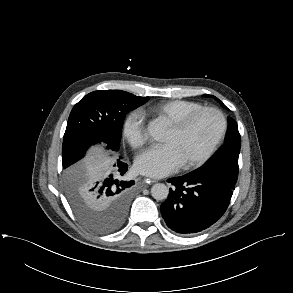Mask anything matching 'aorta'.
<instances>
[{"mask_svg":"<svg viewBox=\"0 0 293 293\" xmlns=\"http://www.w3.org/2000/svg\"><path fill=\"white\" fill-rule=\"evenodd\" d=\"M147 133L156 141H160L165 133L164 124L161 121H152L147 127ZM169 189L163 183H156L151 188V195L156 200H164L168 197Z\"/></svg>","mask_w":293,"mask_h":293,"instance_id":"762f6f07","label":"aorta"}]
</instances>
